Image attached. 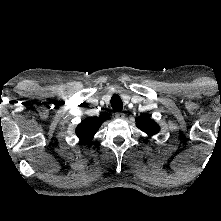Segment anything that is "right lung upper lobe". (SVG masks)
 I'll return each instance as SVG.
<instances>
[{
	"instance_id": "cb5924a9",
	"label": "right lung upper lobe",
	"mask_w": 221,
	"mask_h": 221,
	"mask_svg": "<svg viewBox=\"0 0 221 221\" xmlns=\"http://www.w3.org/2000/svg\"><path fill=\"white\" fill-rule=\"evenodd\" d=\"M107 117H89L83 120L76 128V135L83 143H88L92 140L95 133L98 131L103 121Z\"/></svg>"
}]
</instances>
